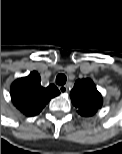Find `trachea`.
Segmentation results:
<instances>
[{
  "label": "trachea",
  "mask_w": 122,
  "mask_h": 154,
  "mask_svg": "<svg viewBox=\"0 0 122 154\" xmlns=\"http://www.w3.org/2000/svg\"><path fill=\"white\" fill-rule=\"evenodd\" d=\"M67 81V77L65 74H59L57 77H56V83L58 85H64Z\"/></svg>",
  "instance_id": "trachea-1"
}]
</instances>
